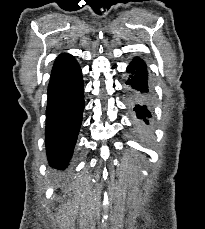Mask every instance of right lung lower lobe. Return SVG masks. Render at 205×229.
Listing matches in <instances>:
<instances>
[{"mask_svg":"<svg viewBox=\"0 0 205 229\" xmlns=\"http://www.w3.org/2000/svg\"><path fill=\"white\" fill-rule=\"evenodd\" d=\"M84 85L81 69L69 54L59 55L53 65L46 108V150L49 163L65 169L82 122Z\"/></svg>","mask_w":205,"mask_h":229,"instance_id":"1","label":"right lung lower lobe"}]
</instances>
